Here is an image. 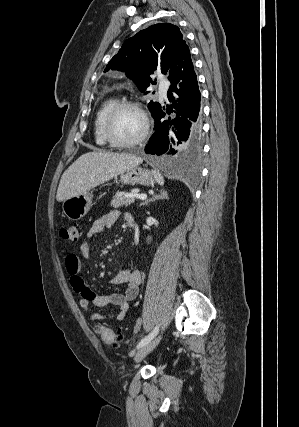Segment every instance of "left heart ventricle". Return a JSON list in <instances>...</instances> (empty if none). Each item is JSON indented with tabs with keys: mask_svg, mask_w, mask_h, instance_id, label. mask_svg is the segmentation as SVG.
I'll return each mask as SVG.
<instances>
[{
	"mask_svg": "<svg viewBox=\"0 0 299 427\" xmlns=\"http://www.w3.org/2000/svg\"><path fill=\"white\" fill-rule=\"evenodd\" d=\"M112 130L115 137L121 141L133 140L143 130L142 117L133 109H122L113 120Z\"/></svg>",
	"mask_w": 299,
	"mask_h": 427,
	"instance_id": "1",
	"label": "left heart ventricle"
}]
</instances>
